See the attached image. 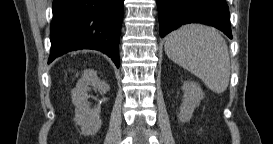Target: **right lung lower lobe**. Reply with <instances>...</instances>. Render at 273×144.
Masks as SVG:
<instances>
[{
	"label": "right lung lower lobe",
	"mask_w": 273,
	"mask_h": 144,
	"mask_svg": "<svg viewBox=\"0 0 273 144\" xmlns=\"http://www.w3.org/2000/svg\"><path fill=\"white\" fill-rule=\"evenodd\" d=\"M123 3L124 0H54L48 63L73 50L94 49L107 54L119 67Z\"/></svg>",
	"instance_id": "right-lung-lower-lobe-1"
}]
</instances>
